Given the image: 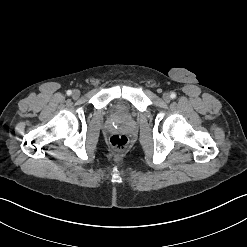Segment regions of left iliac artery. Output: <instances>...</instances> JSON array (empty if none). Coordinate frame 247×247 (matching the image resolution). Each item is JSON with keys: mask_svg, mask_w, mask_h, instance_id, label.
Here are the masks:
<instances>
[{"mask_svg": "<svg viewBox=\"0 0 247 247\" xmlns=\"http://www.w3.org/2000/svg\"><path fill=\"white\" fill-rule=\"evenodd\" d=\"M170 97H171L172 99H174V98H176V94H175L174 92H172V93L170 94Z\"/></svg>", "mask_w": 247, "mask_h": 247, "instance_id": "left-iliac-artery-1", "label": "left iliac artery"}]
</instances>
